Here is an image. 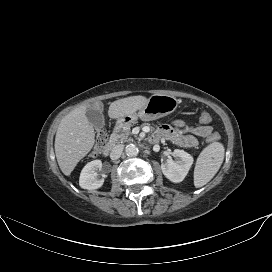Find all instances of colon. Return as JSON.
<instances>
[{"label":"colon","instance_id":"colon-1","mask_svg":"<svg viewBox=\"0 0 272 272\" xmlns=\"http://www.w3.org/2000/svg\"><path fill=\"white\" fill-rule=\"evenodd\" d=\"M199 120L203 125H207L210 123L211 117L207 112H201V114L199 115ZM218 138H219L218 135L214 133L208 137V141L212 142L217 140ZM106 141H107V132L104 129L98 130L96 135V144H95L93 154H98L100 150L102 149L103 145L106 143Z\"/></svg>","mask_w":272,"mask_h":272}]
</instances>
